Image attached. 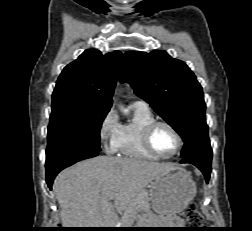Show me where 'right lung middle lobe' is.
Returning <instances> with one entry per match:
<instances>
[{"mask_svg":"<svg viewBox=\"0 0 252 231\" xmlns=\"http://www.w3.org/2000/svg\"><path fill=\"white\" fill-rule=\"evenodd\" d=\"M110 109L52 103L46 158L70 150L100 151V128Z\"/></svg>","mask_w":252,"mask_h":231,"instance_id":"1","label":"right lung middle lobe"}]
</instances>
